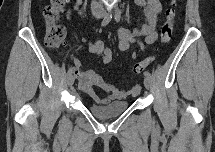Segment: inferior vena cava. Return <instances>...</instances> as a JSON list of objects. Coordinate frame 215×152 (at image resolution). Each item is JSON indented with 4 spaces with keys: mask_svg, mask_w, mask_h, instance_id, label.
<instances>
[{
    "mask_svg": "<svg viewBox=\"0 0 215 152\" xmlns=\"http://www.w3.org/2000/svg\"><path fill=\"white\" fill-rule=\"evenodd\" d=\"M93 2H97V0H93Z\"/></svg>",
    "mask_w": 215,
    "mask_h": 152,
    "instance_id": "obj_1",
    "label": "inferior vena cava"
}]
</instances>
